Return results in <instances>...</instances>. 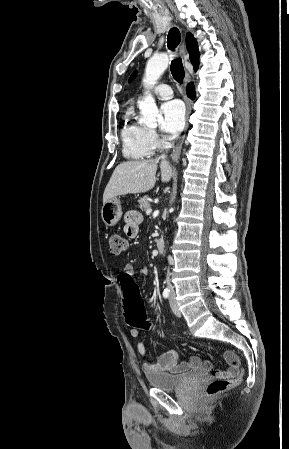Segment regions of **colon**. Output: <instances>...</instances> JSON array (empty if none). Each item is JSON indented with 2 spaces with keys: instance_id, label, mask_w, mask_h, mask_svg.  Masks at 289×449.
<instances>
[{
  "instance_id": "obj_1",
  "label": "colon",
  "mask_w": 289,
  "mask_h": 449,
  "mask_svg": "<svg viewBox=\"0 0 289 449\" xmlns=\"http://www.w3.org/2000/svg\"><path fill=\"white\" fill-rule=\"evenodd\" d=\"M110 253L113 256L121 255L127 249V241L118 234H113L109 238ZM120 291L123 292L122 304L127 310V323L130 327L138 330H149L152 324L148 321L141 296H137V281L131 276L129 271L119 273ZM242 372L237 376L226 378L213 372V379L206 387L207 396H215L231 387L237 385L241 380Z\"/></svg>"
}]
</instances>
